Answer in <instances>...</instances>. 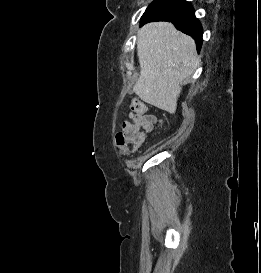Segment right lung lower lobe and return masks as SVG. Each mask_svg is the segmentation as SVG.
<instances>
[{
	"label": "right lung lower lobe",
	"mask_w": 261,
	"mask_h": 273,
	"mask_svg": "<svg viewBox=\"0 0 261 273\" xmlns=\"http://www.w3.org/2000/svg\"><path fill=\"white\" fill-rule=\"evenodd\" d=\"M170 10L158 15L146 17L141 20V25L152 21H169L172 22L178 30L190 35L196 42L197 50L202 45V26L195 17L192 5L185 0H167Z\"/></svg>",
	"instance_id": "1"
}]
</instances>
